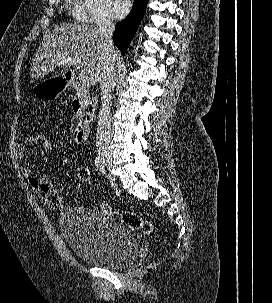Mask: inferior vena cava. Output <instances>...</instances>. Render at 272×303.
Masks as SVG:
<instances>
[{"instance_id": "1", "label": "inferior vena cava", "mask_w": 272, "mask_h": 303, "mask_svg": "<svg viewBox=\"0 0 272 303\" xmlns=\"http://www.w3.org/2000/svg\"><path fill=\"white\" fill-rule=\"evenodd\" d=\"M97 31L104 45L105 61L99 78L101 88V109L96 131V145L101 159H111L110 131H111V98L109 93L114 85L115 57L113 54L112 36L115 30L113 18L109 14H103L97 21Z\"/></svg>"}]
</instances>
